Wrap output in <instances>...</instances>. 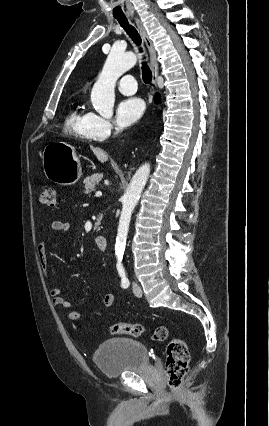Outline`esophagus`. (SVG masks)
Wrapping results in <instances>:
<instances>
[{"label":"esophagus","instance_id":"1","mask_svg":"<svg viewBox=\"0 0 269 426\" xmlns=\"http://www.w3.org/2000/svg\"><path fill=\"white\" fill-rule=\"evenodd\" d=\"M135 22L142 34V37L144 39V42L146 44V47L149 52L150 56V65H151V71H152V84L156 87L157 86V77H158V62H157V55L156 50L154 48L153 42L150 39L144 25L140 21V19L135 18Z\"/></svg>","mask_w":269,"mask_h":426}]
</instances>
